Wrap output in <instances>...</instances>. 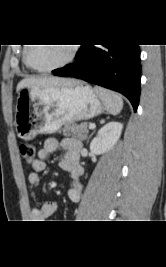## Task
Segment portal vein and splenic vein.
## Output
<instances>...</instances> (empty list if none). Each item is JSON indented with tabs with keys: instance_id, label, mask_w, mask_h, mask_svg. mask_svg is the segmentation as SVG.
<instances>
[{
	"instance_id": "portal-vein-and-splenic-vein-1",
	"label": "portal vein and splenic vein",
	"mask_w": 166,
	"mask_h": 267,
	"mask_svg": "<svg viewBox=\"0 0 166 267\" xmlns=\"http://www.w3.org/2000/svg\"><path fill=\"white\" fill-rule=\"evenodd\" d=\"M96 126H95V124H90L89 125V129H94Z\"/></svg>"
}]
</instances>
